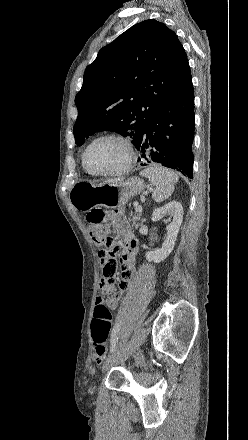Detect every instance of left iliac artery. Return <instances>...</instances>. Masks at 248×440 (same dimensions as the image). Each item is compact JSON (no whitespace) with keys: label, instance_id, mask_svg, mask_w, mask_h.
I'll use <instances>...</instances> for the list:
<instances>
[{"label":"left iliac artery","instance_id":"left-iliac-artery-1","mask_svg":"<svg viewBox=\"0 0 248 440\" xmlns=\"http://www.w3.org/2000/svg\"><path fill=\"white\" fill-rule=\"evenodd\" d=\"M111 344H110V351L111 352H115L116 351V346L118 343V335H117V330L113 329L112 331V335H111ZM134 339H132L129 344H133Z\"/></svg>","mask_w":248,"mask_h":440}]
</instances>
